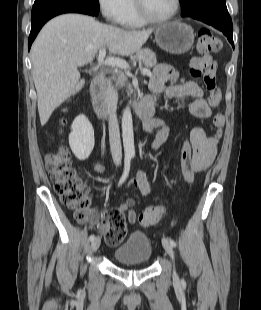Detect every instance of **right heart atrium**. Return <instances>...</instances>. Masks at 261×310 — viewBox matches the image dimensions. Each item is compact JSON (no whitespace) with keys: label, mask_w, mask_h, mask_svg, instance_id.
<instances>
[{"label":"right heart atrium","mask_w":261,"mask_h":310,"mask_svg":"<svg viewBox=\"0 0 261 310\" xmlns=\"http://www.w3.org/2000/svg\"><path fill=\"white\" fill-rule=\"evenodd\" d=\"M128 0H97L103 17L110 23L120 24L127 11Z\"/></svg>","instance_id":"obj_1"}]
</instances>
